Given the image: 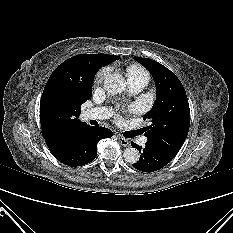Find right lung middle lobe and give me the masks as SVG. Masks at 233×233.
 I'll list each match as a JSON object with an SVG mask.
<instances>
[{
	"mask_svg": "<svg viewBox=\"0 0 233 233\" xmlns=\"http://www.w3.org/2000/svg\"><path fill=\"white\" fill-rule=\"evenodd\" d=\"M90 81L87 87L77 95L74 100L64 102L58 98L48 99L46 105V115L53 122H61L72 115H79L82 103L91 98L92 83L97 72L95 65L88 64Z\"/></svg>",
	"mask_w": 233,
	"mask_h": 233,
	"instance_id": "1",
	"label": "right lung middle lobe"
}]
</instances>
